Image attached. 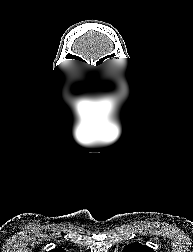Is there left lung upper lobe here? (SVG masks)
<instances>
[{"instance_id": "obj_1", "label": "left lung upper lobe", "mask_w": 193, "mask_h": 252, "mask_svg": "<svg viewBox=\"0 0 193 252\" xmlns=\"http://www.w3.org/2000/svg\"><path fill=\"white\" fill-rule=\"evenodd\" d=\"M123 252H154V250L140 243H133L125 246Z\"/></svg>"}]
</instances>
